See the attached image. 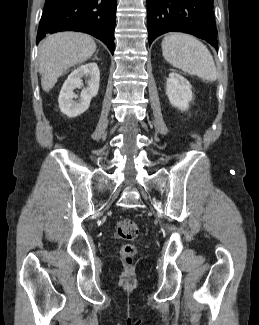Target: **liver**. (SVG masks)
Returning <instances> with one entry per match:
<instances>
[{"label":"liver","instance_id":"6515ba94","mask_svg":"<svg viewBox=\"0 0 259 325\" xmlns=\"http://www.w3.org/2000/svg\"><path fill=\"white\" fill-rule=\"evenodd\" d=\"M95 51V41L86 34L60 32L49 35L39 45V73L42 89L49 92L64 71L86 61Z\"/></svg>","mask_w":259,"mask_h":325}]
</instances>
